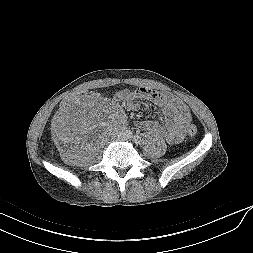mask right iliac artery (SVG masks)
Segmentation results:
<instances>
[{"instance_id":"right-iliac-artery-1","label":"right iliac artery","mask_w":253,"mask_h":253,"mask_svg":"<svg viewBox=\"0 0 253 253\" xmlns=\"http://www.w3.org/2000/svg\"><path fill=\"white\" fill-rule=\"evenodd\" d=\"M125 135H126L127 137H132V132H131L130 130H127V131L125 132Z\"/></svg>"}]
</instances>
